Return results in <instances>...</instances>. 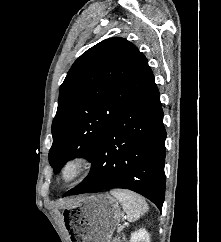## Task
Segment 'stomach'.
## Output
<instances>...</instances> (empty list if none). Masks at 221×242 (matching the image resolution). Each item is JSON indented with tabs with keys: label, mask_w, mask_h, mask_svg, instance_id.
Here are the masks:
<instances>
[{
	"label": "stomach",
	"mask_w": 221,
	"mask_h": 242,
	"mask_svg": "<svg viewBox=\"0 0 221 242\" xmlns=\"http://www.w3.org/2000/svg\"><path fill=\"white\" fill-rule=\"evenodd\" d=\"M66 210L71 242H110L121 217L117 200L108 193L73 199Z\"/></svg>",
	"instance_id": "stomach-1"
}]
</instances>
